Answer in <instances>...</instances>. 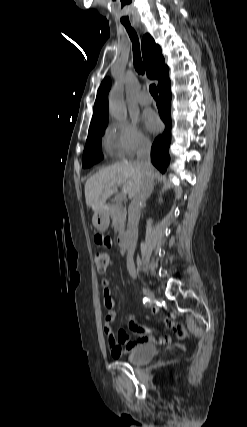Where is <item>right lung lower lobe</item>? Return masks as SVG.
Masks as SVG:
<instances>
[{
	"label": "right lung lower lobe",
	"mask_w": 247,
	"mask_h": 427,
	"mask_svg": "<svg viewBox=\"0 0 247 427\" xmlns=\"http://www.w3.org/2000/svg\"><path fill=\"white\" fill-rule=\"evenodd\" d=\"M159 102L157 107L159 114L163 122L165 123V130L163 134L158 136L151 150V161L155 167H157L161 172H165L166 167L169 163V154L168 149L171 139V89H170V80L166 81L159 88Z\"/></svg>",
	"instance_id": "obj_1"
}]
</instances>
